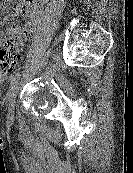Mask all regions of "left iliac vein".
Here are the masks:
<instances>
[{
	"label": "left iliac vein",
	"instance_id": "4c4485c4",
	"mask_svg": "<svg viewBox=\"0 0 133 173\" xmlns=\"http://www.w3.org/2000/svg\"><path fill=\"white\" fill-rule=\"evenodd\" d=\"M18 93V84L14 86L13 89H11L9 95H8V105H9V110H8V122L11 123L14 120V115H15V99L16 95Z\"/></svg>",
	"mask_w": 133,
	"mask_h": 173
}]
</instances>
